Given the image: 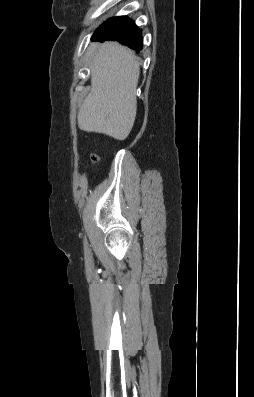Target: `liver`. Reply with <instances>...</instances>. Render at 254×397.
<instances>
[{"label": "liver", "instance_id": "6515ba94", "mask_svg": "<svg viewBox=\"0 0 254 397\" xmlns=\"http://www.w3.org/2000/svg\"><path fill=\"white\" fill-rule=\"evenodd\" d=\"M91 90L78 112L79 128L125 140L137 112L140 63L134 53L116 43H91L86 52Z\"/></svg>", "mask_w": 254, "mask_h": 397}]
</instances>
